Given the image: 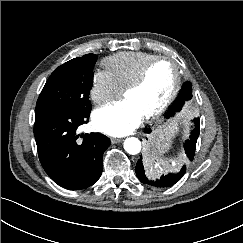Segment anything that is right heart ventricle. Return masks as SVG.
<instances>
[{
	"label": "right heart ventricle",
	"mask_w": 243,
	"mask_h": 243,
	"mask_svg": "<svg viewBox=\"0 0 243 243\" xmlns=\"http://www.w3.org/2000/svg\"><path fill=\"white\" fill-rule=\"evenodd\" d=\"M155 57H157L156 54L147 52H119L107 57L103 65L118 85L124 89Z\"/></svg>",
	"instance_id": "right-heart-ventricle-1"
}]
</instances>
